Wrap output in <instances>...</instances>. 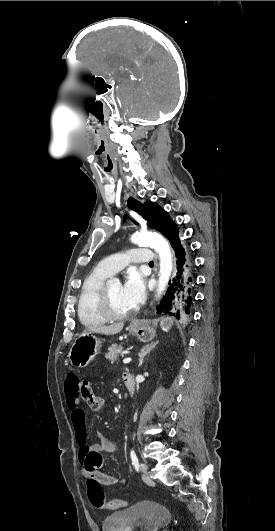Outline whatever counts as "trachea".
<instances>
[{"label": "trachea", "instance_id": "trachea-1", "mask_svg": "<svg viewBox=\"0 0 275 531\" xmlns=\"http://www.w3.org/2000/svg\"><path fill=\"white\" fill-rule=\"evenodd\" d=\"M149 265L153 266L154 265L153 261H150Z\"/></svg>", "mask_w": 275, "mask_h": 531}]
</instances>
